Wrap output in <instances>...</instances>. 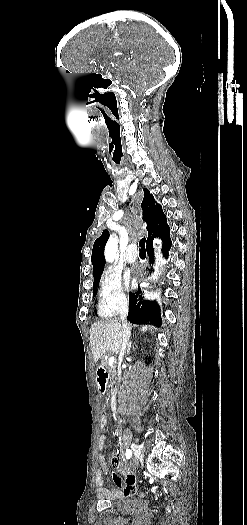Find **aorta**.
I'll return each instance as SVG.
<instances>
[{
  "label": "aorta",
  "mask_w": 247,
  "mask_h": 525,
  "mask_svg": "<svg viewBox=\"0 0 247 525\" xmlns=\"http://www.w3.org/2000/svg\"><path fill=\"white\" fill-rule=\"evenodd\" d=\"M118 252V239L116 236H111L105 246V259L108 262H113L116 259Z\"/></svg>",
  "instance_id": "aorta-1"
}]
</instances>
